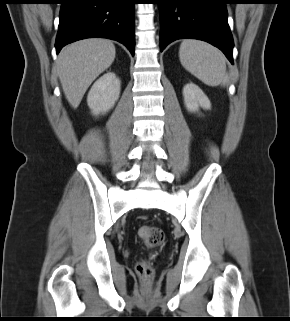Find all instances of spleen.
<instances>
[{
	"instance_id": "1",
	"label": "spleen",
	"mask_w": 290,
	"mask_h": 321,
	"mask_svg": "<svg viewBox=\"0 0 290 321\" xmlns=\"http://www.w3.org/2000/svg\"><path fill=\"white\" fill-rule=\"evenodd\" d=\"M181 64L209 86L226 85L228 75L221 52L203 41L184 40L179 49Z\"/></svg>"
}]
</instances>
